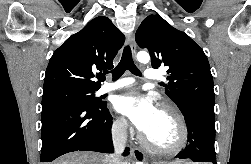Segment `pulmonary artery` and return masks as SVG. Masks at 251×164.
<instances>
[{
    "label": "pulmonary artery",
    "mask_w": 251,
    "mask_h": 164,
    "mask_svg": "<svg viewBox=\"0 0 251 164\" xmlns=\"http://www.w3.org/2000/svg\"><path fill=\"white\" fill-rule=\"evenodd\" d=\"M143 77L147 81H155V80L160 79V74L157 70L150 68V69L145 70ZM134 81L135 80L133 78L125 77L115 82L105 83L99 88L98 94L102 95V94L114 91L116 89H119L121 87L131 85L134 83Z\"/></svg>",
    "instance_id": "e3ab8cb5"
}]
</instances>
